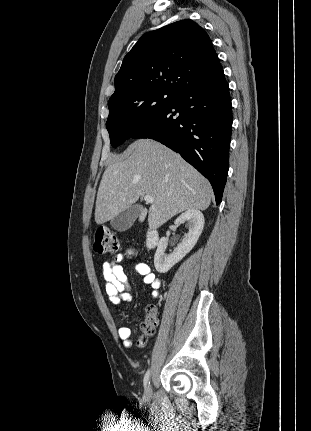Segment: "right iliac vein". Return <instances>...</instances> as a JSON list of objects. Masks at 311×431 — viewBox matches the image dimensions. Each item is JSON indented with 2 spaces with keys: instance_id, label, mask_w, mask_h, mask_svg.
<instances>
[{
  "instance_id": "63e3f726",
  "label": "right iliac vein",
  "mask_w": 311,
  "mask_h": 431,
  "mask_svg": "<svg viewBox=\"0 0 311 431\" xmlns=\"http://www.w3.org/2000/svg\"><path fill=\"white\" fill-rule=\"evenodd\" d=\"M152 396V389L150 384L146 387L143 398L148 401Z\"/></svg>"
}]
</instances>
